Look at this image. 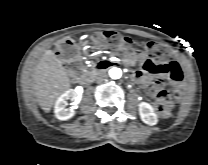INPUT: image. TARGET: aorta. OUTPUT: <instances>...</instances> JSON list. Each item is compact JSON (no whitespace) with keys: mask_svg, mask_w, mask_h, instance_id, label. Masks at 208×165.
Masks as SVG:
<instances>
[{"mask_svg":"<svg viewBox=\"0 0 208 165\" xmlns=\"http://www.w3.org/2000/svg\"><path fill=\"white\" fill-rule=\"evenodd\" d=\"M109 76L112 78V79H119L121 78L122 76V70L120 68H117V67H112L110 70H109Z\"/></svg>","mask_w":208,"mask_h":165,"instance_id":"aorta-1","label":"aorta"}]
</instances>
